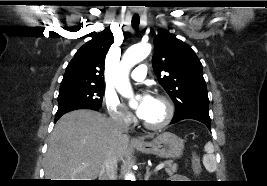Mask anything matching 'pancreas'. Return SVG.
Instances as JSON below:
<instances>
[{
  "label": "pancreas",
  "mask_w": 267,
  "mask_h": 186,
  "mask_svg": "<svg viewBox=\"0 0 267 186\" xmlns=\"http://www.w3.org/2000/svg\"><path fill=\"white\" fill-rule=\"evenodd\" d=\"M163 164L166 166L165 171L168 175H173L174 173L177 172L176 163H172V161H165Z\"/></svg>",
  "instance_id": "obj_1"
}]
</instances>
